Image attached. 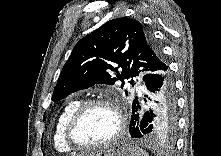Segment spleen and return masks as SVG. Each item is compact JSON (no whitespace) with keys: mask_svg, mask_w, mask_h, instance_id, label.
I'll return each instance as SVG.
<instances>
[{"mask_svg":"<svg viewBox=\"0 0 221 156\" xmlns=\"http://www.w3.org/2000/svg\"><path fill=\"white\" fill-rule=\"evenodd\" d=\"M134 148H135L136 156H148L147 152L144 151L143 149L136 147V146Z\"/></svg>","mask_w":221,"mask_h":156,"instance_id":"1","label":"spleen"}]
</instances>
